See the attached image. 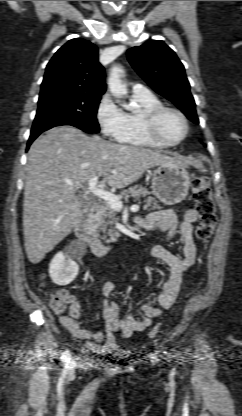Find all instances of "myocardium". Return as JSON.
I'll list each match as a JSON object with an SVG mask.
<instances>
[{"mask_svg": "<svg viewBox=\"0 0 242 416\" xmlns=\"http://www.w3.org/2000/svg\"><path fill=\"white\" fill-rule=\"evenodd\" d=\"M167 112H172L176 114L181 119L184 125L183 135L178 139H175V140L167 139L160 133L158 129V123H159L160 118L163 116V114ZM144 124H145V129H146L147 134L156 142L161 143L166 146L177 145L181 143L187 137L188 132H189L188 120L186 116L184 115V113L180 111L179 109L171 107V106L161 105V106H158L149 110L145 114Z\"/></svg>", "mask_w": 242, "mask_h": 416, "instance_id": "f54148a6", "label": "myocardium"}]
</instances>
